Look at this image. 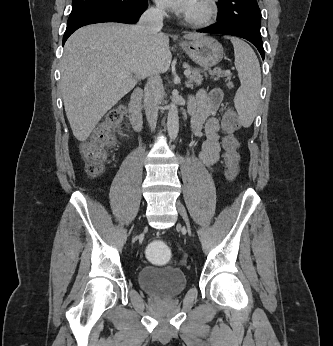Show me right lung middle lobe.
I'll list each match as a JSON object with an SVG mask.
<instances>
[{
    "mask_svg": "<svg viewBox=\"0 0 333 346\" xmlns=\"http://www.w3.org/2000/svg\"><path fill=\"white\" fill-rule=\"evenodd\" d=\"M136 2L137 0H72V11L70 15L81 10L95 7H114L126 10L132 7Z\"/></svg>",
    "mask_w": 333,
    "mask_h": 346,
    "instance_id": "dd1d6c3e",
    "label": "right lung middle lobe"
}]
</instances>
